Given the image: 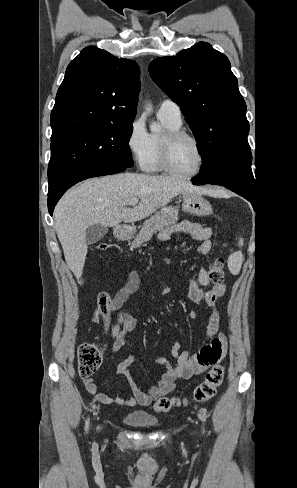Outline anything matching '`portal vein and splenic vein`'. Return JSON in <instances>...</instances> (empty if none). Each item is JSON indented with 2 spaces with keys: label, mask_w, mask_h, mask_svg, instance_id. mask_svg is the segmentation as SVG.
I'll list each match as a JSON object with an SVG mask.
<instances>
[{
  "label": "portal vein and splenic vein",
  "mask_w": 297,
  "mask_h": 488,
  "mask_svg": "<svg viewBox=\"0 0 297 488\" xmlns=\"http://www.w3.org/2000/svg\"><path fill=\"white\" fill-rule=\"evenodd\" d=\"M138 201H139L138 198H132L128 204L131 206H135L138 203Z\"/></svg>",
  "instance_id": "portal-vein-and-splenic-vein-1"
}]
</instances>
